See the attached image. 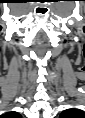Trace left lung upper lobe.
Returning <instances> with one entry per match:
<instances>
[{"label":"left lung upper lobe","instance_id":"left-lung-upper-lobe-1","mask_svg":"<svg viewBox=\"0 0 85 118\" xmlns=\"http://www.w3.org/2000/svg\"><path fill=\"white\" fill-rule=\"evenodd\" d=\"M76 110L74 109H68L62 112V116H66V115H71L73 113H75Z\"/></svg>","mask_w":85,"mask_h":118}]
</instances>
